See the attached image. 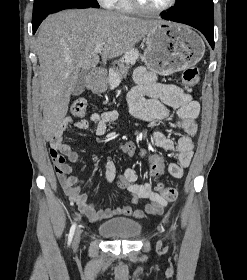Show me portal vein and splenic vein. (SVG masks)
I'll return each instance as SVG.
<instances>
[{"label":"portal vein and splenic vein","mask_w":247,"mask_h":280,"mask_svg":"<svg viewBox=\"0 0 247 280\" xmlns=\"http://www.w3.org/2000/svg\"><path fill=\"white\" fill-rule=\"evenodd\" d=\"M102 50H103V44L97 45L94 49L95 53H101Z\"/></svg>","instance_id":"portal-vein-and-splenic-vein-1"}]
</instances>
